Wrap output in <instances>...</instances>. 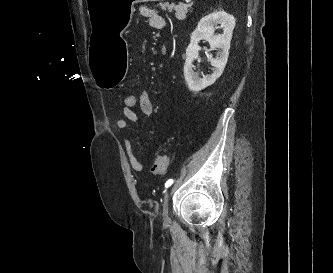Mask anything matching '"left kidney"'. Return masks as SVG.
Listing matches in <instances>:
<instances>
[{"instance_id": "left-kidney-1", "label": "left kidney", "mask_w": 333, "mask_h": 273, "mask_svg": "<svg viewBox=\"0 0 333 273\" xmlns=\"http://www.w3.org/2000/svg\"><path fill=\"white\" fill-rule=\"evenodd\" d=\"M218 24L223 27V34L214 33ZM234 27L235 18L224 11L211 13L199 21L197 28L191 34L184 65L185 80L191 91L198 92L212 85L221 76L228 60ZM201 39L207 40L212 50L220 49L217 58L210 60L213 73L203 76V78H199L193 70V62L199 57V51L201 50L198 45Z\"/></svg>"}]
</instances>
